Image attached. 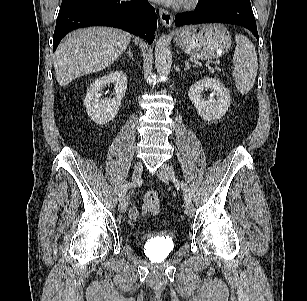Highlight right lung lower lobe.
<instances>
[{
  "mask_svg": "<svg viewBox=\"0 0 307 301\" xmlns=\"http://www.w3.org/2000/svg\"><path fill=\"white\" fill-rule=\"evenodd\" d=\"M111 26L154 39L157 19L146 0H62L53 36V51L70 31L88 26Z\"/></svg>",
  "mask_w": 307,
  "mask_h": 301,
  "instance_id": "1",
  "label": "right lung lower lobe"
}]
</instances>
